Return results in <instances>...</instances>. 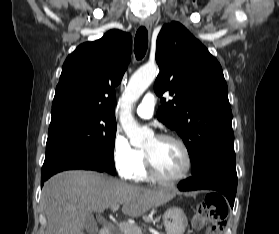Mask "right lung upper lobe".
<instances>
[{"label": "right lung upper lobe", "instance_id": "cb5924a9", "mask_svg": "<svg viewBox=\"0 0 279 234\" xmlns=\"http://www.w3.org/2000/svg\"><path fill=\"white\" fill-rule=\"evenodd\" d=\"M131 52V36L117 29L79 45L63 64L52 112L78 109L114 115L115 88Z\"/></svg>", "mask_w": 279, "mask_h": 234}]
</instances>
